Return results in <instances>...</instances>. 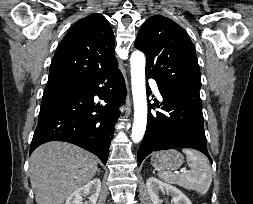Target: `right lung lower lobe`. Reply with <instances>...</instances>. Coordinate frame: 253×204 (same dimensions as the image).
<instances>
[{
	"instance_id": "right-lung-lower-lobe-1",
	"label": "right lung lower lobe",
	"mask_w": 253,
	"mask_h": 204,
	"mask_svg": "<svg viewBox=\"0 0 253 204\" xmlns=\"http://www.w3.org/2000/svg\"><path fill=\"white\" fill-rule=\"evenodd\" d=\"M96 95L105 105L94 103ZM125 95L118 67L71 89L43 95L30 154L43 143L65 141L94 153L106 164L118 108Z\"/></svg>"
}]
</instances>
